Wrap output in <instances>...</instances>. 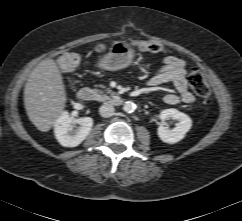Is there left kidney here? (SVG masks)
<instances>
[{"instance_id": "obj_1", "label": "left kidney", "mask_w": 242, "mask_h": 221, "mask_svg": "<svg viewBox=\"0 0 242 221\" xmlns=\"http://www.w3.org/2000/svg\"><path fill=\"white\" fill-rule=\"evenodd\" d=\"M159 117L162 121L169 119L178 121L173 129H169V127L164 126L163 124L157 129L158 137L168 144H175L182 140L192 126L191 118L177 109H165L161 111Z\"/></svg>"}]
</instances>
